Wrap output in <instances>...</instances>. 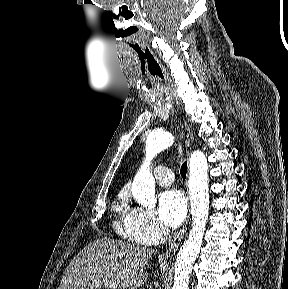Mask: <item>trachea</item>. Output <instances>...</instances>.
<instances>
[{"label":"trachea","mask_w":288,"mask_h":289,"mask_svg":"<svg viewBox=\"0 0 288 289\" xmlns=\"http://www.w3.org/2000/svg\"><path fill=\"white\" fill-rule=\"evenodd\" d=\"M138 53V58L141 63V67L146 71L155 84V95L157 98L162 99L165 97V92L162 87V83L165 79L163 70L161 69L157 59L148 49H142ZM180 173L182 178H186L187 163L184 162L181 166Z\"/></svg>","instance_id":"1"}]
</instances>
